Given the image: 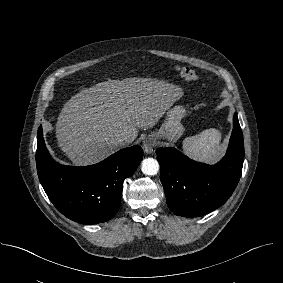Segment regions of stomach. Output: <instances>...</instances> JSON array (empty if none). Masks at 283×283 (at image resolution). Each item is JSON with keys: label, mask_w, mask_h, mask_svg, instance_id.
<instances>
[{"label": "stomach", "mask_w": 283, "mask_h": 283, "mask_svg": "<svg viewBox=\"0 0 283 283\" xmlns=\"http://www.w3.org/2000/svg\"><path fill=\"white\" fill-rule=\"evenodd\" d=\"M186 115V109L175 105L166 112V117L161 127L150 136L155 139H166L169 142L177 141L184 133L181 119Z\"/></svg>", "instance_id": "obj_1"}]
</instances>
